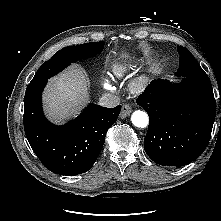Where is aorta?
Returning <instances> with one entry per match:
<instances>
[{"label":"aorta","mask_w":221,"mask_h":221,"mask_svg":"<svg viewBox=\"0 0 221 221\" xmlns=\"http://www.w3.org/2000/svg\"><path fill=\"white\" fill-rule=\"evenodd\" d=\"M132 124L139 128H145L149 123V118L146 112L136 110L131 116Z\"/></svg>","instance_id":"aorta-1"}]
</instances>
